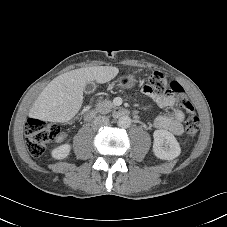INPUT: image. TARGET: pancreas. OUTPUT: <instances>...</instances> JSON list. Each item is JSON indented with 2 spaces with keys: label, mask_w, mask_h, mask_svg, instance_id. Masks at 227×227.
Segmentation results:
<instances>
[{
  "label": "pancreas",
  "mask_w": 227,
  "mask_h": 227,
  "mask_svg": "<svg viewBox=\"0 0 227 227\" xmlns=\"http://www.w3.org/2000/svg\"><path fill=\"white\" fill-rule=\"evenodd\" d=\"M114 104L110 100H99L96 104V111L101 114H106L111 111Z\"/></svg>",
  "instance_id": "1"
}]
</instances>
